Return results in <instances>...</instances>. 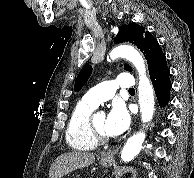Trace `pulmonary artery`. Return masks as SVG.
I'll return each instance as SVG.
<instances>
[{"label":"pulmonary artery","instance_id":"pulmonary-artery-1","mask_svg":"<svg viewBox=\"0 0 194 178\" xmlns=\"http://www.w3.org/2000/svg\"><path fill=\"white\" fill-rule=\"evenodd\" d=\"M135 85L131 74H121L116 79L106 80L90 89L83 100L94 106L113 97L118 88L130 89Z\"/></svg>","mask_w":194,"mask_h":178}]
</instances>
